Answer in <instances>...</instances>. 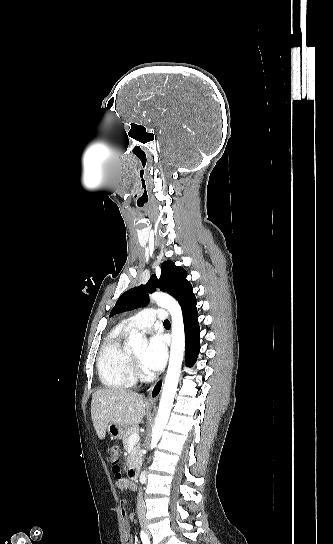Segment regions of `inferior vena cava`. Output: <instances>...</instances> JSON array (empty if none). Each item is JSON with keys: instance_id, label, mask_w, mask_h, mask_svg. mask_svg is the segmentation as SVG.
<instances>
[{"instance_id": "inferior-vena-cava-1", "label": "inferior vena cava", "mask_w": 333, "mask_h": 544, "mask_svg": "<svg viewBox=\"0 0 333 544\" xmlns=\"http://www.w3.org/2000/svg\"><path fill=\"white\" fill-rule=\"evenodd\" d=\"M142 489H139L138 497H137V514L139 517H143L145 515V503L142 496Z\"/></svg>"}]
</instances>
